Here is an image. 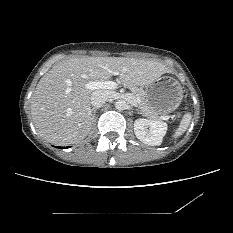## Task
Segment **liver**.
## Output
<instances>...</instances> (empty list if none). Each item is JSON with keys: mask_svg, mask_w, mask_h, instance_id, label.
<instances>
[{"mask_svg": "<svg viewBox=\"0 0 233 233\" xmlns=\"http://www.w3.org/2000/svg\"><path fill=\"white\" fill-rule=\"evenodd\" d=\"M170 70L155 60L126 57H72L54 65L38 82L31 99L36 130L52 144L83 140L92 126V81L120 75L124 84L145 86Z\"/></svg>", "mask_w": 233, "mask_h": 233, "instance_id": "1", "label": "liver"}]
</instances>
